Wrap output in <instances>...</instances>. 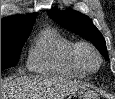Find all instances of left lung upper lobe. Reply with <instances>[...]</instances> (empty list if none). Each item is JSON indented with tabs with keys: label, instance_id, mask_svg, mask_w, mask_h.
I'll list each match as a JSON object with an SVG mask.
<instances>
[{
	"label": "left lung upper lobe",
	"instance_id": "5c2ea615",
	"mask_svg": "<svg viewBox=\"0 0 115 99\" xmlns=\"http://www.w3.org/2000/svg\"><path fill=\"white\" fill-rule=\"evenodd\" d=\"M47 13L63 28L73 31L91 41L104 58L109 60L105 39L89 17L71 9L63 12L60 10H48Z\"/></svg>",
	"mask_w": 115,
	"mask_h": 99
}]
</instances>
